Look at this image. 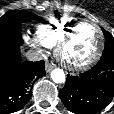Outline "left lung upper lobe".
<instances>
[{"label": "left lung upper lobe", "instance_id": "left-lung-upper-lobe-1", "mask_svg": "<svg viewBox=\"0 0 114 114\" xmlns=\"http://www.w3.org/2000/svg\"><path fill=\"white\" fill-rule=\"evenodd\" d=\"M106 38L105 48L101 58H114V37L103 29Z\"/></svg>", "mask_w": 114, "mask_h": 114}]
</instances>
